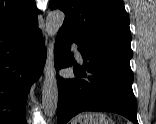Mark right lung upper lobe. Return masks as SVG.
<instances>
[{"mask_svg":"<svg viewBox=\"0 0 156 124\" xmlns=\"http://www.w3.org/2000/svg\"><path fill=\"white\" fill-rule=\"evenodd\" d=\"M34 0H0V42L11 35H26L38 29Z\"/></svg>","mask_w":156,"mask_h":124,"instance_id":"1","label":"right lung upper lobe"}]
</instances>
